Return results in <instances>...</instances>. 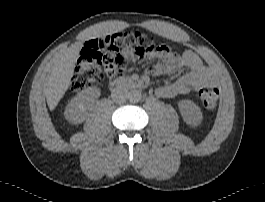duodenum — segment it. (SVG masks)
I'll use <instances>...</instances> for the list:
<instances>
[{
    "label": "duodenum",
    "mask_w": 265,
    "mask_h": 202,
    "mask_svg": "<svg viewBox=\"0 0 265 202\" xmlns=\"http://www.w3.org/2000/svg\"><path fill=\"white\" fill-rule=\"evenodd\" d=\"M142 86V83L138 80H134L127 77H115L109 81V89L112 92H119L122 89H134Z\"/></svg>",
    "instance_id": "obj_1"
}]
</instances>
